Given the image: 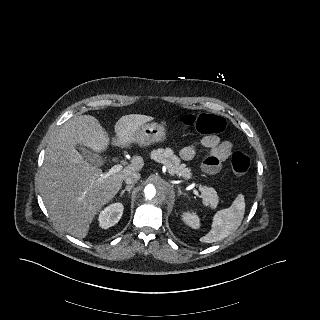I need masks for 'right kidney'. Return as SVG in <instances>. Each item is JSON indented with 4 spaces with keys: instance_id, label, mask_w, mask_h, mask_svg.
<instances>
[{
    "instance_id": "1",
    "label": "right kidney",
    "mask_w": 320,
    "mask_h": 320,
    "mask_svg": "<svg viewBox=\"0 0 320 320\" xmlns=\"http://www.w3.org/2000/svg\"><path fill=\"white\" fill-rule=\"evenodd\" d=\"M123 209L124 207L121 203H114L107 206L99 214V225L104 229L115 225L120 220L123 214Z\"/></svg>"
}]
</instances>
